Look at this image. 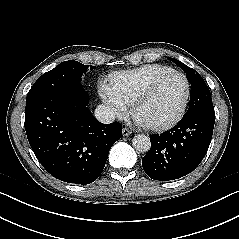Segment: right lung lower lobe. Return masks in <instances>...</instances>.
Returning <instances> with one entry per match:
<instances>
[{
  "mask_svg": "<svg viewBox=\"0 0 239 239\" xmlns=\"http://www.w3.org/2000/svg\"><path fill=\"white\" fill-rule=\"evenodd\" d=\"M84 90L51 92L26 99L25 130L42 166L68 183L89 184L102 173L122 126L102 124L87 107Z\"/></svg>",
  "mask_w": 239,
  "mask_h": 239,
  "instance_id": "obj_1",
  "label": "right lung lower lobe"
}]
</instances>
